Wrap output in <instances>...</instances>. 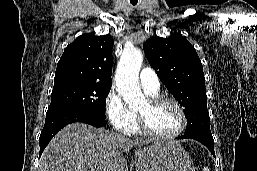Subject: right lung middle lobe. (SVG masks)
<instances>
[{
    "instance_id": "right-lung-middle-lobe-1",
    "label": "right lung middle lobe",
    "mask_w": 257,
    "mask_h": 171,
    "mask_svg": "<svg viewBox=\"0 0 257 171\" xmlns=\"http://www.w3.org/2000/svg\"><path fill=\"white\" fill-rule=\"evenodd\" d=\"M111 85L74 83L53 88L48 111L78 108L105 118L106 97Z\"/></svg>"
}]
</instances>
